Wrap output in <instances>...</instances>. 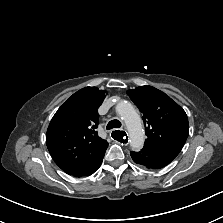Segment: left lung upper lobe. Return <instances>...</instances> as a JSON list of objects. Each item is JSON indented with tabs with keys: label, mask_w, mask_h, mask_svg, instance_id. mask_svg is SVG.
Listing matches in <instances>:
<instances>
[{
	"label": "left lung upper lobe",
	"mask_w": 223,
	"mask_h": 223,
	"mask_svg": "<svg viewBox=\"0 0 223 223\" xmlns=\"http://www.w3.org/2000/svg\"><path fill=\"white\" fill-rule=\"evenodd\" d=\"M143 113L147 139L144 146L177 156L189 133L185 111L168 95L152 86H140L127 91Z\"/></svg>",
	"instance_id": "left-lung-upper-lobe-1"
}]
</instances>
